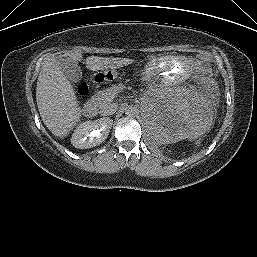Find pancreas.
Returning a JSON list of instances; mask_svg holds the SVG:
<instances>
[{
    "mask_svg": "<svg viewBox=\"0 0 257 257\" xmlns=\"http://www.w3.org/2000/svg\"><path fill=\"white\" fill-rule=\"evenodd\" d=\"M123 87L122 84L113 85L102 91L97 92L91 99V102L98 108H102L107 103L111 102L118 90Z\"/></svg>",
    "mask_w": 257,
    "mask_h": 257,
    "instance_id": "pancreas-1",
    "label": "pancreas"
}]
</instances>
